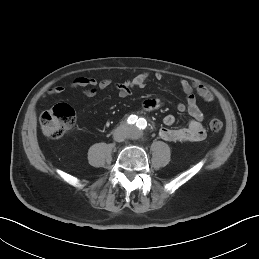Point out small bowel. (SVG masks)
Listing matches in <instances>:
<instances>
[{
	"label": "small bowel",
	"mask_w": 259,
	"mask_h": 259,
	"mask_svg": "<svg viewBox=\"0 0 259 259\" xmlns=\"http://www.w3.org/2000/svg\"><path fill=\"white\" fill-rule=\"evenodd\" d=\"M157 80H163L164 76L162 73L157 72L155 74ZM149 79V73L143 72L136 75L130 80L120 82L116 85L119 96L127 97L131 95L132 89H141L146 85ZM111 84L110 79L103 78L97 80L94 77L82 76L73 80L69 88L74 90H83L87 96H94L98 91L106 90ZM179 86L186 96V103H179L177 110L179 112H187L190 116L188 126L185 128H170L175 122V117L171 114L166 115L163 119L165 127L159 130V136L169 142H197L201 141L206 137V130L203 126L204 114L199 108L196 99V93L206 101H212L213 95L204 86L197 83H192L187 80H180ZM65 91L63 86H55L48 89L43 97L51 95H60ZM162 106L160 99H146L141 105L143 112H151L159 109Z\"/></svg>",
	"instance_id": "small-bowel-1"
}]
</instances>
